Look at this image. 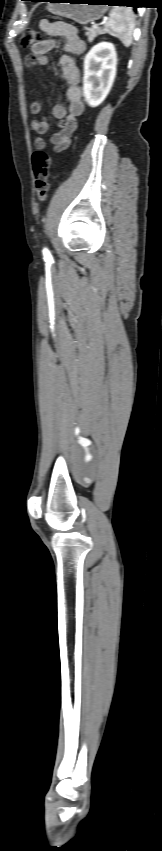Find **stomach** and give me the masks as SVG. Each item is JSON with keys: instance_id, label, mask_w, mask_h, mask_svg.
Here are the masks:
<instances>
[{"instance_id": "0dacf381", "label": "stomach", "mask_w": 162, "mask_h": 851, "mask_svg": "<svg viewBox=\"0 0 162 851\" xmlns=\"http://www.w3.org/2000/svg\"><path fill=\"white\" fill-rule=\"evenodd\" d=\"M105 4L106 0H50L48 10L85 25L104 15L108 7Z\"/></svg>"}]
</instances>
